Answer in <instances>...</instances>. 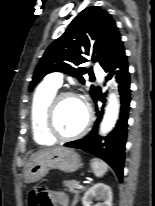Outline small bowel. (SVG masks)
Masks as SVG:
<instances>
[{"label": "small bowel", "mask_w": 155, "mask_h": 206, "mask_svg": "<svg viewBox=\"0 0 155 206\" xmlns=\"http://www.w3.org/2000/svg\"><path fill=\"white\" fill-rule=\"evenodd\" d=\"M48 196V203L40 206H66L68 197L61 191H46Z\"/></svg>", "instance_id": "c3829d8e"}]
</instances>
